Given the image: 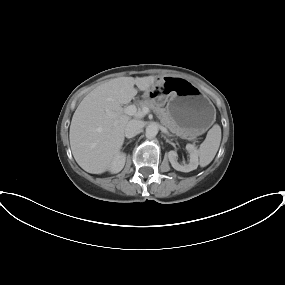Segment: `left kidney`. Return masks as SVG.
<instances>
[{"instance_id":"left-kidney-1","label":"left kidney","mask_w":285,"mask_h":285,"mask_svg":"<svg viewBox=\"0 0 285 285\" xmlns=\"http://www.w3.org/2000/svg\"><path fill=\"white\" fill-rule=\"evenodd\" d=\"M186 150L190 154V162H189V164H185V165H181L177 162L178 155H177L176 151L171 150L168 152L169 161H170L172 167L177 171L190 172V171L197 169V167H198L199 159H198L197 148L192 144H187Z\"/></svg>"}]
</instances>
